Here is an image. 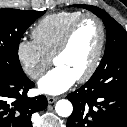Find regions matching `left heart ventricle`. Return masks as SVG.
<instances>
[{
    "mask_svg": "<svg viewBox=\"0 0 127 127\" xmlns=\"http://www.w3.org/2000/svg\"><path fill=\"white\" fill-rule=\"evenodd\" d=\"M99 40L98 24L92 19L83 21L75 31L67 51L56 60L55 65L65 68L77 79L90 66Z\"/></svg>",
    "mask_w": 127,
    "mask_h": 127,
    "instance_id": "obj_1",
    "label": "left heart ventricle"
}]
</instances>
